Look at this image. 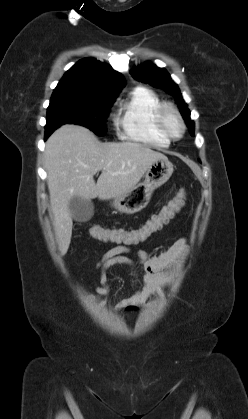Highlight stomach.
Here are the masks:
<instances>
[{
  "mask_svg": "<svg viewBox=\"0 0 248 419\" xmlns=\"http://www.w3.org/2000/svg\"><path fill=\"white\" fill-rule=\"evenodd\" d=\"M173 173V164L167 158L152 162L145 174L143 182L129 191L116 196L112 206L121 213L134 214L141 211L149 203L153 191L163 185Z\"/></svg>",
  "mask_w": 248,
  "mask_h": 419,
  "instance_id": "stomach-1",
  "label": "stomach"
}]
</instances>
